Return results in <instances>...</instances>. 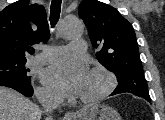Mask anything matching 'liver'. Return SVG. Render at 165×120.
I'll return each mask as SVG.
<instances>
[{
    "instance_id": "1",
    "label": "liver",
    "mask_w": 165,
    "mask_h": 120,
    "mask_svg": "<svg viewBox=\"0 0 165 120\" xmlns=\"http://www.w3.org/2000/svg\"><path fill=\"white\" fill-rule=\"evenodd\" d=\"M41 110L17 91L0 87V120H40Z\"/></svg>"
}]
</instances>
